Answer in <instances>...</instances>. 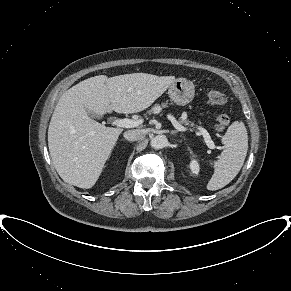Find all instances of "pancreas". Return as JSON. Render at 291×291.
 I'll list each match as a JSON object with an SVG mask.
<instances>
[{
    "label": "pancreas",
    "mask_w": 291,
    "mask_h": 291,
    "mask_svg": "<svg viewBox=\"0 0 291 291\" xmlns=\"http://www.w3.org/2000/svg\"><path fill=\"white\" fill-rule=\"evenodd\" d=\"M165 106H166V104H163V107H165ZM157 108H159V105H155L154 107H152V109L149 110V113H153ZM180 123H182L184 125H191V126L194 125V123H191L189 120H183V119L180 120Z\"/></svg>",
    "instance_id": "cf45deb5"
}]
</instances>
